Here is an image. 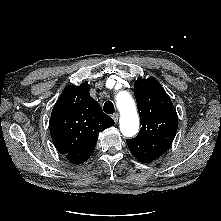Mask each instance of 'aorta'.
I'll use <instances>...</instances> for the list:
<instances>
[{
  "mask_svg": "<svg viewBox=\"0 0 221 221\" xmlns=\"http://www.w3.org/2000/svg\"><path fill=\"white\" fill-rule=\"evenodd\" d=\"M116 106L120 112V130L126 137H132L139 131V116L132 96L122 91L116 96Z\"/></svg>",
  "mask_w": 221,
  "mask_h": 221,
  "instance_id": "762f6f07",
  "label": "aorta"
}]
</instances>
